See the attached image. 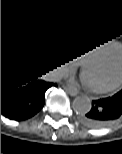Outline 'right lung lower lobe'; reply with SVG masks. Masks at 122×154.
Instances as JSON below:
<instances>
[{
	"mask_svg": "<svg viewBox=\"0 0 122 154\" xmlns=\"http://www.w3.org/2000/svg\"><path fill=\"white\" fill-rule=\"evenodd\" d=\"M48 60L49 54L44 53L41 67L47 65ZM24 76L1 78V114L11 120L23 121L37 114L44 106L46 90L52 86L51 83L39 80L38 76L17 84Z\"/></svg>",
	"mask_w": 122,
	"mask_h": 154,
	"instance_id": "obj_1",
	"label": "right lung lower lobe"
}]
</instances>
